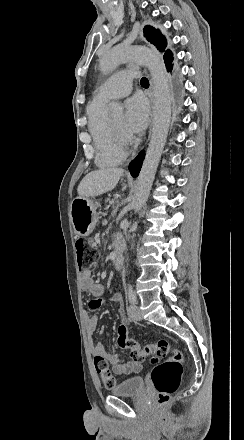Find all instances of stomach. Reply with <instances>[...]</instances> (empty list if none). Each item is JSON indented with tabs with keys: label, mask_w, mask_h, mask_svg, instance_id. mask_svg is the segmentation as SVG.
<instances>
[{
	"label": "stomach",
	"mask_w": 244,
	"mask_h": 440,
	"mask_svg": "<svg viewBox=\"0 0 244 440\" xmlns=\"http://www.w3.org/2000/svg\"><path fill=\"white\" fill-rule=\"evenodd\" d=\"M97 208H100V202L90 198L78 196L72 200L69 216L75 236H89L93 232L98 222Z\"/></svg>",
	"instance_id": "1"
}]
</instances>
